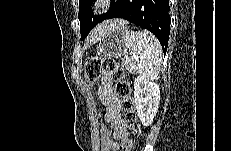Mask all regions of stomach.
<instances>
[{"label": "stomach", "mask_w": 231, "mask_h": 151, "mask_svg": "<svg viewBox=\"0 0 231 151\" xmlns=\"http://www.w3.org/2000/svg\"><path fill=\"white\" fill-rule=\"evenodd\" d=\"M129 33L130 30L125 26L107 31L100 39L97 54L108 58L123 57L128 50L126 37Z\"/></svg>", "instance_id": "stomach-1"}]
</instances>
